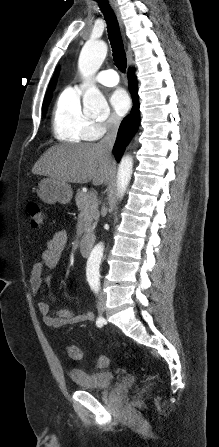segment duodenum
I'll list each match as a JSON object with an SVG mask.
<instances>
[{"mask_svg": "<svg viewBox=\"0 0 219 447\" xmlns=\"http://www.w3.org/2000/svg\"><path fill=\"white\" fill-rule=\"evenodd\" d=\"M92 246V236H85L80 242V251L84 257H88Z\"/></svg>", "mask_w": 219, "mask_h": 447, "instance_id": "410a0bca", "label": "duodenum"}]
</instances>
